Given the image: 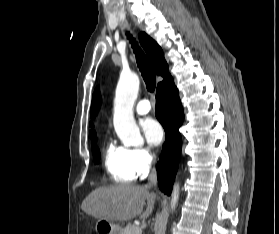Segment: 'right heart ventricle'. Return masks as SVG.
<instances>
[{"label":"right heart ventricle","instance_id":"e07e8e85","mask_svg":"<svg viewBox=\"0 0 279 234\" xmlns=\"http://www.w3.org/2000/svg\"><path fill=\"white\" fill-rule=\"evenodd\" d=\"M104 166L110 178L116 183H131L138 174L132 162L131 149L109 142L104 150Z\"/></svg>","mask_w":279,"mask_h":234}]
</instances>
